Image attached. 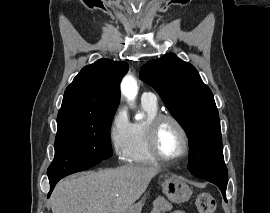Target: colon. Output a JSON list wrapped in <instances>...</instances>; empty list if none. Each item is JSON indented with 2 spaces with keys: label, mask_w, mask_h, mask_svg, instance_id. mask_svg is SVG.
Wrapping results in <instances>:
<instances>
[{
  "label": "colon",
  "mask_w": 270,
  "mask_h": 213,
  "mask_svg": "<svg viewBox=\"0 0 270 213\" xmlns=\"http://www.w3.org/2000/svg\"><path fill=\"white\" fill-rule=\"evenodd\" d=\"M195 205L199 213H214L216 202L212 195L206 192H200L195 198Z\"/></svg>",
  "instance_id": "obj_1"
}]
</instances>
